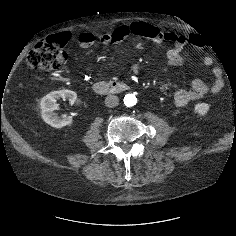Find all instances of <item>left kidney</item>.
<instances>
[{
    "label": "left kidney",
    "mask_w": 236,
    "mask_h": 236,
    "mask_svg": "<svg viewBox=\"0 0 236 236\" xmlns=\"http://www.w3.org/2000/svg\"><path fill=\"white\" fill-rule=\"evenodd\" d=\"M210 105L207 103H198L194 106L195 113L204 116L209 111Z\"/></svg>",
    "instance_id": "1"
}]
</instances>
